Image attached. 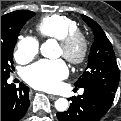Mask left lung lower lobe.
<instances>
[{
  "instance_id": "obj_1",
  "label": "left lung lower lobe",
  "mask_w": 121,
  "mask_h": 121,
  "mask_svg": "<svg viewBox=\"0 0 121 121\" xmlns=\"http://www.w3.org/2000/svg\"><path fill=\"white\" fill-rule=\"evenodd\" d=\"M115 93L98 87L84 88V94L72 98L66 112H58L59 121H97L111 107ZM71 99V98H70Z\"/></svg>"
}]
</instances>
